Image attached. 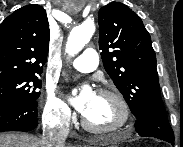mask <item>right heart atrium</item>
<instances>
[{"label":"right heart atrium","mask_w":183,"mask_h":147,"mask_svg":"<svg viewBox=\"0 0 183 147\" xmlns=\"http://www.w3.org/2000/svg\"><path fill=\"white\" fill-rule=\"evenodd\" d=\"M72 111L64 100H62L54 88H47L43 102L44 123L58 129H67L72 122Z\"/></svg>","instance_id":"1"}]
</instances>
